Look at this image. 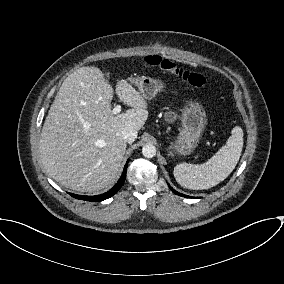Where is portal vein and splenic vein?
I'll return each mask as SVG.
<instances>
[{
	"label": "portal vein and splenic vein",
	"instance_id": "18ae733b",
	"mask_svg": "<svg viewBox=\"0 0 284 284\" xmlns=\"http://www.w3.org/2000/svg\"><path fill=\"white\" fill-rule=\"evenodd\" d=\"M120 111H121V106H120V105H116V106L113 108L112 113H113L114 115H116V114L120 113Z\"/></svg>",
	"mask_w": 284,
	"mask_h": 284
}]
</instances>
